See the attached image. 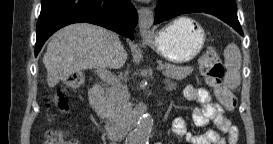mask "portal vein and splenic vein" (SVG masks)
Instances as JSON below:
<instances>
[{
  "mask_svg": "<svg viewBox=\"0 0 273 144\" xmlns=\"http://www.w3.org/2000/svg\"><path fill=\"white\" fill-rule=\"evenodd\" d=\"M163 69H164L163 65L157 66V70L161 71ZM98 75L104 82H107L108 84H110L112 86H119L120 85L119 80L116 77L107 73L106 71H99Z\"/></svg>",
  "mask_w": 273,
  "mask_h": 144,
  "instance_id": "18ae733b",
  "label": "portal vein and splenic vein"
}]
</instances>
